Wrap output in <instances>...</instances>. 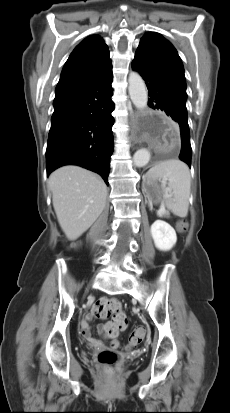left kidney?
<instances>
[{"mask_svg":"<svg viewBox=\"0 0 230 413\" xmlns=\"http://www.w3.org/2000/svg\"><path fill=\"white\" fill-rule=\"evenodd\" d=\"M151 235L157 249L170 250L177 241L175 230L165 221L156 220L151 225Z\"/></svg>","mask_w":230,"mask_h":413,"instance_id":"1","label":"left kidney"}]
</instances>
